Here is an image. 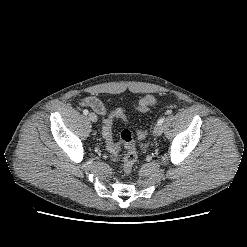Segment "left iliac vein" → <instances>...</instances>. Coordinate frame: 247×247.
Returning <instances> with one entry per match:
<instances>
[{"label": "left iliac vein", "instance_id": "left-iliac-vein-1", "mask_svg": "<svg viewBox=\"0 0 247 247\" xmlns=\"http://www.w3.org/2000/svg\"><path fill=\"white\" fill-rule=\"evenodd\" d=\"M153 133H154V135H156V136H160V135L163 133L162 124H157V125L154 127Z\"/></svg>", "mask_w": 247, "mask_h": 247}]
</instances>
